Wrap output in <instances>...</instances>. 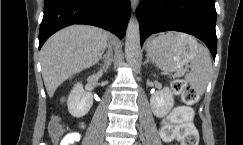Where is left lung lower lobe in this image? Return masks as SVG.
<instances>
[{"label": "left lung lower lobe", "mask_w": 243, "mask_h": 145, "mask_svg": "<svg viewBox=\"0 0 243 145\" xmlns=\"http://www.w3.org/2000/svg\"><path fill=\"white\" fill-rule=\"evenodd\" d=\"M137 16L141 45L153 33L180 31L202 40L215 59V0H141Z\"/></svg>", "instance_id": "left-lung-lower-lobe-1"}]
</instances>
